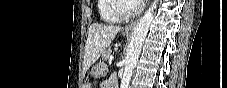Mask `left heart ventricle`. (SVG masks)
<instances>
[{
	"label": "left heart ventricle",
	"mask_w": 227,
	"mask_h": 88,
	"mask_svg": "<svg viewBox=\"0 0 227 88\" xmlns=\"http://www.w3.org/2000/svg\"><path fill=\"white\" fill-rule=\"evenodd\" d=\"M135 9V5L132 1H126L122 3V10L125 13H130Z\"/></svg>",
	"instance_id": "b2bd125f"
}]
</instances>
